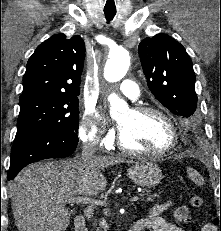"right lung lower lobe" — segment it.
I'll return each mask as SVG.
<instances>
[{"label": "right lung lower lobe", "instance_id": "obj_1", "mask_svg": "<svg viewBox=\"0 0 221 231\" xmlns=\"http://www.w3.org/2000/svg\"><path fill=\"white\" fill-rule=\"evenodd\" d=\"M78 140L75 134L57 130H34L25 134L14 141L7 179H14L30 163L70 156L76 149Z\"/></svg>", "mask_w": 221, "mask_h": 231}]
</instances>
